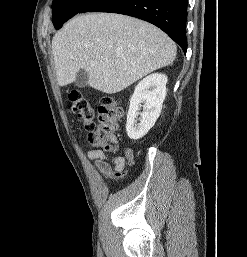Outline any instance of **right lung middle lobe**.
Masks as SVG:
<instances>
[{"label": "right lung middle lobe", "mask_w": 247, "mask_h": 257, "mask_svg": "<svg viewBox=\"0 0 247 257\" xmlns=\"http://www.w3.org/2000/svg\"><path fill=\"white\" fill-rule=\"evenodd\" d=\"M92 0H53L52 2V22L56 29L79 13Z\"/></svg>", "instance_id": "right-lung-middle-lobe-1"}]
</instances>
